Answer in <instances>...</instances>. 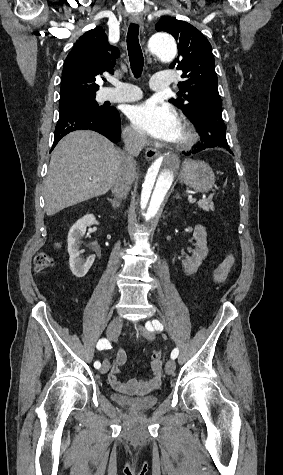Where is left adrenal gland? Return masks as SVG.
Returning <instances> with one entry per match:
<instances>
[{"mask_svg": "<svg viewBox=\"0 0 283 475\" xmlns=\"http://www.w3.org/2000/svg\"><path fill=\"white\" fill-rule=\"evenodd\" d=\"M175 198H176V200H179V196H178V194H177V196H175Z\"/></svg>", "mask_w": 283, "mask_h": 475, "instance_id": "1", "label": "left adrenal gland"}]
</instances>
